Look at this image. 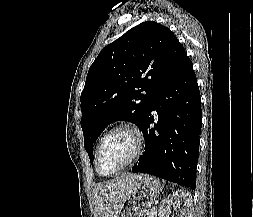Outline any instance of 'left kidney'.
Returning <instances> with one entry per match:
<instances>
[{"mask_svg": "<svg viewBox=\"0 0 253 217\" xmlns=\"http://www.w3.org/2000/svg\"><path fill=\"white\" fill-rule=\"evenodd\" d=\"M183 203V207H181ZM178 207V217H188V208L192 205V196L186 190H178L172 195L165 198L160 205L159 216L160 217H170L171 206Z\"/></svg>", "mask_w": 253, "mask_h": 217, "instance_id": "left-kidney-1", "label": "left kidney"}]
</instances>
